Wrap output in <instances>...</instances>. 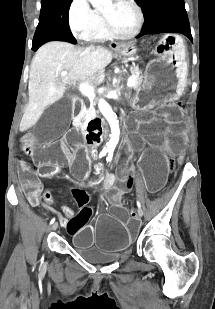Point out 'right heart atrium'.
I'll return each instance as SVG.
<instances>
[{
    "label": "right heart atrium",
    "instance_id": "1",
    "mask_svg": "<svg viewBox=\"0 0 215 309\" xmlns=\"http://www.w3.org/2000/svg\"><path fill=\"white\" fill-rule=\"evenodd\" d=\"M74 5L69 11V25L73 34L79 38H86L89 29H95L99 15L87 6L86 0H73Z\"/></svg>",
    "mask_w": 215,
    "mask_h": 309
}]
</instances>
